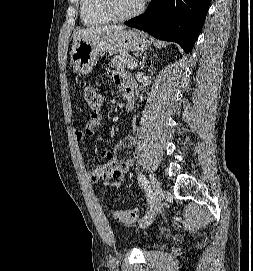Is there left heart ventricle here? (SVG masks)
<instances>
[{
    "label": "left heart ventricle",
    "mask_w": 253,
    "mask_h": 271,
    "mask_svg": "<svg viewBox=\"0 0 253 271\" xmlns=\"http://www.w3.org/2000/svg\"><path fill=\"white\" fill-rule=\"evenodd\" d=\"M142 0H115V5L119 13L125 14L133 11Z\"/></svg>",
    "instance_id": "1"
}]
</instances>
